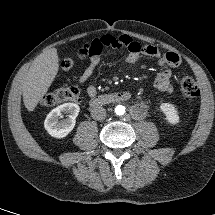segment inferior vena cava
<instances>
[{
  "label": "inferior vena cava",
  "instance_id": "602c4592",
  "mask_svg": "<svg viewBox=\"0 0 215 215\" xmlns=\"http://www.w3.org/2000/svg\"><path fill=\"white\" fill-rule=\"evenodd\" d=\"M91 117L95 120H104L106 118V110L102 106H96L91 109Z\"/></svg>",
  "mask_w": 215,
  "mask_h": 215
}]
</instances>
